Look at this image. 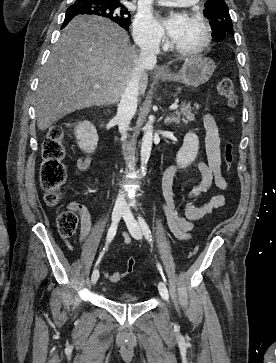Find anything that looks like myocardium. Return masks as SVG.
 I'll return each instance as SVG.
<instances>
[{"instance_id": "f54148a6", "label": "myocardium", "mask_w": 276, "mask_h": 363, "mask_svg": "<svg viewBox=\"0 0 276 363\" xmlns=\"http://www.w3.org/2000/svg\"><path fill=\"white\" fill-rule=\"evenodd\" d=\"M187 16L198 21L204 30V39L202 43L195 48H183L175 44L174 41L171 43L172 49L182 56H197L203 53L210 45L212 40L211 27L207 18L200 12L195 10H189Z\"/></svg>"}]
</instances>
